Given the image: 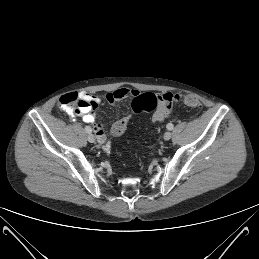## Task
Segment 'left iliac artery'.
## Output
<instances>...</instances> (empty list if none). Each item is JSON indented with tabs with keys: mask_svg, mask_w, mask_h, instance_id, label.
I'll use <instances>...</instances> for the list:
<instances>
[{
	"mask_svg": "<svg viewBox=\"0 0 259 259\" xmlns=\"http://www.w3.org/2000/svg\"><path fill=\"white\" fill-rule=\"evenodd\" d=\"M166 128H167L168 130H172V129L174 128V125H173L172 123H168L167 126H166Z\"/></svg>",
	"mask_w": 259,
	"mask_h": 259,
	"instance_id": "44dca946",
	"label": "left iliac artery"
}]
</instances>
